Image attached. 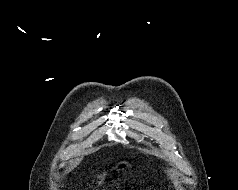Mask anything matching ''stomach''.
<instances>
[{
  "label": "stomach",
  "mask_w": 238,
  "mask_h": 190,
  "mask_svg": "<svg viewBox=\"0 0 238 190\" xmlns=\"http://www.w3.org/2000/svg\"><path fill=\"white\" fill-rule=\"evenodd\" d=\"M131 166L128 162H119L116 166H115V170L119 173V172H126L127 169H129Z\"/></svg>",
  "instance_id": "1"
}]
</instances>
